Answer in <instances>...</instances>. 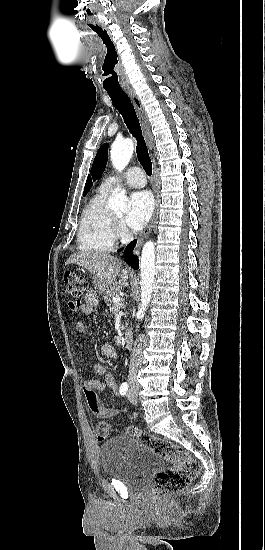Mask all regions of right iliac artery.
Wrapping results in <instances>:
<instances>
[{
  "label": "right iliac artery",
  "instance_id": "obj_1",
  "mask_svg": "<svg viewBox=\"0 0 265 550\" xmlns=\"http://www.w3.org/2000/svg\"><path fill=\"white\" fill-rule=\"evenodd\" d=\"M128 387H129V385H128L127 382H124V383L121 384L119 392L122 396L126 395V393L128 391Z\"/></svg>",
  "mask_w": 265,
  "mask_h": 550
}]
</instances>
